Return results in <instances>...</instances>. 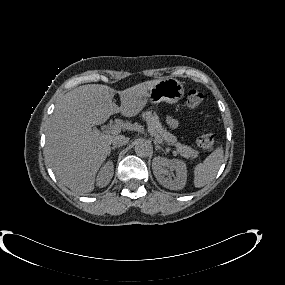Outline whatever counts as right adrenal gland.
Here are the masks:
<instances>
[{
    "instance_id": "2a0ac1e0",
    "label": "right adrenal gland",
    "mask_w": 285,
    "mask_h": 285,
    "mask_svg": "<svg viewBox=\"0 0 285 285\" xmlns=\"http://www.w3.org/2000/svg\"><path fill=\"white\" fill-rule=\"evenodd\" d=\"M118 147H119V146H113V147H111L110 150H109V154H108V155H110V153H111L112 150H114V149H116V148H118Z\"/></svg>"
}]
</instances>
